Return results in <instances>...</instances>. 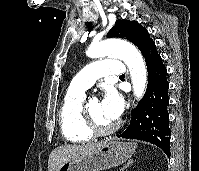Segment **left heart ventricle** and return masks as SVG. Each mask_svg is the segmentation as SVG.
Here are the masks:
<instances>
[{
	"label": "left heart ventricle",
	"mask_w": 199,
	"mask_h": 171,
	"mask_svg": "<svg viewBox=\"0 0 199 171\" xmlns=\"http://www.w3.org/2000/svg\"><path fill=\"white\" fill-rule=\"evenodd\" d=\"M87 107L89 109V111L91 112V114L93 115V117L102 125H111L114 122L108 120L107 118H105L102 114L101 111V103L98 100H94V101H90L87 104Z\"/></svg>",
	"instance_id": "b2bd125f"
}]
</instances>
